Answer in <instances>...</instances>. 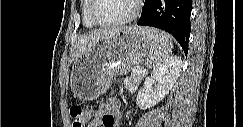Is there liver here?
<instances>
[{
	"label": "liver",
	"mask_w": 243,
	"mask_h": 127,
	"mask_svg": "<svg viewBox=\"0 0 243 127\" xmlns=\"http://www.w3.org/2000/svg\"><path fill=\"white\" fill-rule=\"evenodd\" d=\"M122 29L124 28L95 30L87 34H84L79 38L77 45V53L75 57H79L80 55L87 53L99 40L109 35H112Z\"/></svg>",
	"instance_id": "6515ba94"
}]
</instances>
